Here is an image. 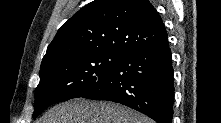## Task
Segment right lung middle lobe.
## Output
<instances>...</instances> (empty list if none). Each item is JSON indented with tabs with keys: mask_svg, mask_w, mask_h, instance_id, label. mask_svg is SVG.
I'll use <instances>...</instances> for the list:
<instances>
[{
	"mask_svg": "<svg viewBox=\"0 0 221 123\" xmlns=\"http://www.w3.org/2000/svg\"><path fill=\"white\" fill-rule=\"evenodd\" d=\"M127 54L107 49L69 54L40 67L33 117L48 106L81 97L103 83Z\"/></svg>",
	"mask_w": 221,
	"mask_h": 123,
	"instance_id": "1",
	"label": "right lung middle lobe"
}]
</instances>
